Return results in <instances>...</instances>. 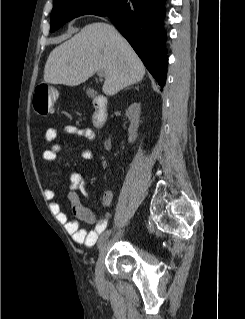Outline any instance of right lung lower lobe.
<instances>
[{
  "mask_svg": "<svg viewBox=\"0 0 245 319\" xmlns=\"http://www.w3.org/2000/svg\"><path fill=\"white\" fill-rule=\"evenodd\" d=\"M164 3L165 0H122L107 15L162 88L168 62L166 32L162 24Z\"/></svg>",
  "mask_w": 245,
  "mask_h": 319,
  "instance_id": "1",
  "label": "right lung lower lobe"
}]
</instances>
